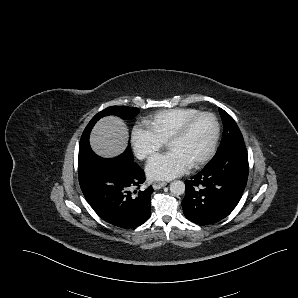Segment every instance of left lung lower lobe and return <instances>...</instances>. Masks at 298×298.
I'll return each instance as SVG.
<instances>
[{"instance_id": "left-lung-lower-lobe-1", "label": "left lung lower lobe", "mask_w": 298, "mask_h": 298, "mask_svg": "<svg viewBox=\"0 0 298 298\" xmlns=\"http://www.w3.org/2000/svg\"><path fill=\"white\" fill-rule=\"evenodd\" d=\"M248 172L245 144L214 157L201 172L185 181L182 208L186 218L208 225L228 216L243 194Z\"/></svg>"}]
</instances>
